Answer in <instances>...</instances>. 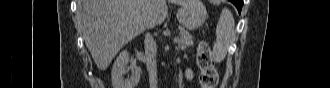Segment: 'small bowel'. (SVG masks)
<instances>
[{
    "mask_svg": "<svg viewBox=\"0 0 330 88\" xmlns=\"http://www.w3.org/2000/svg\"><path fill=\"white\" fill-rule=\"evenodd\" d=\"M185 75H186V78L187 79H189V78H191V72L189 71V70H187L186 72H185Z\"/></svg>",
    "mask_w": 330,
    "mask_h": 88,
    "instance_id": "c3829d8e",
    "label": "small bowel"
}]
</instances>
